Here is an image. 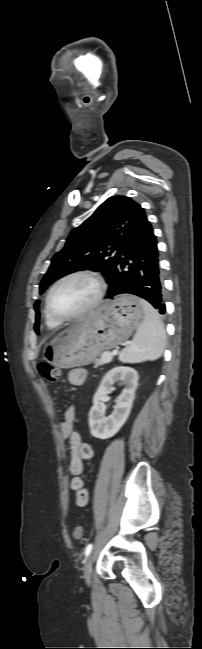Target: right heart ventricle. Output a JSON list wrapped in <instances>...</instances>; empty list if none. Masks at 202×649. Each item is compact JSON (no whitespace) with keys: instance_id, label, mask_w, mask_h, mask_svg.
<instances>
[{"instance_id":"1","label":"right heart ventricle","mask_w":202,"mask_h":649,"mask_svg":"<svg viewBox=\"0 0 202 649\" xmlns=\"http://www.w3.org/2000/svg\"><path fill=\"white\" fill-rule=\"evenodd\" d=\"M44 320H45V324L47 325V327H49V328H51V329H53V328H57V327L60 325V323L54 321V320H53V319H52V318L47 314L46 310L44 311Z\"/></svg>"}]
</instances>
